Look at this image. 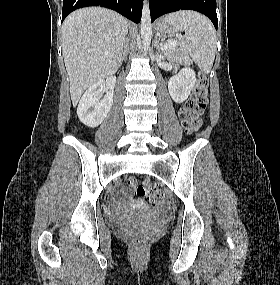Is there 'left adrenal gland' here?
<instances>
[{
    "label": "left adrenal gland",
    "instance_id": "a2214340",
    "mask_svg": "<svg viewBox=\"0 0 280 285\" xmlns=\"http://www.w3.org/2000/svg\"><path fill=\"white\" fill-rule=\"evenodd\" d=\"M154 47L156 48L157 53H163L162 49L160 48V43H159L158 37H155Z\"/></svg>",
    "mask_w": 280,
    "mask_h": 285
}]
</instances>
